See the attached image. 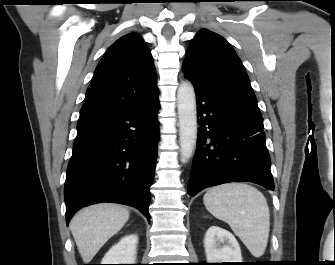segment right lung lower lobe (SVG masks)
Returning <instances> with one entry per match:
<instances>
[{"mask_svg": "<svg viewBox=\"0 0 335 265\" xmlns=\"http://www.w3.org/2000/svg\"><path fill=\"white\" fill-rule=\"evenodd\" d=\"M159 107L157 98L135 109L78 122L64 187L67 224L77 210L98 202L133 206L150 221Z\"/></svg>", "mask_w": 335, "mask_h": 265, "instance_id": "right-lung-lower-lobe-1", "label": "right lung lower lobe"}]
</instances>
